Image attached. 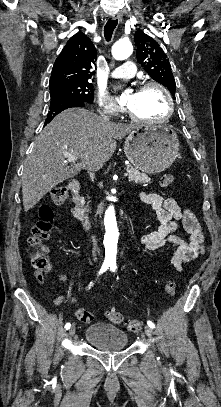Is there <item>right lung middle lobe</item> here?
Instances as JSON below:
<instances>
[{"instance_id":"dd1d6c3e","label":"right lung middle lobe","mask_w":221,"mask_h":407,"mask_svg":"<svg viewBox=\"0 0 221 407\" xmlns=\"http://www.w3.org/2000/svg\"><path fill=\"white\" fill-rule=\"evenodd\" d=\"M50 93L51 103L66 99L81 100L87 103H93L94 92L92 84L88 81L52 89L50 90Z\"/></svg>"}]
</instances>
